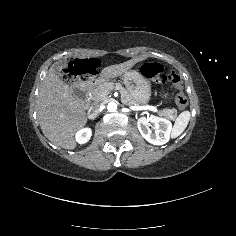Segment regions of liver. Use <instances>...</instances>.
<instances>
[{
  "label": "liver",
  "instance_id": "obj_1",
  "mask_svg": "<svg viewBox=\"0 0 236 236\" xmlns=\"http://www.w3.org/2000/svg\"><path fill=\"white\" fill-rule=\"evenodd\" d=\"M145 57H135L121 64L102 69L101 78H115L131 69ZM37 118L44 136L64 149L76 147L75 133L87 122L84 102L75 99L55 73L53 66L41 83L36 102Z\"/></svg>",
  "mask_w": 236,
  "mask_h": 236
}]
</instances>
